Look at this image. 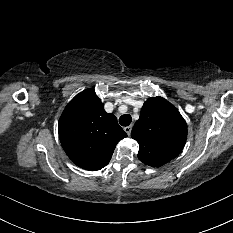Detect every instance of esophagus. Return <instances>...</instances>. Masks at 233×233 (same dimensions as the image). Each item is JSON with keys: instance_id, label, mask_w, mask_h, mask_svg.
Listing matches in <instances>:
<instances>
[{"instance_id": "esophagus-1", "label": "esophagus", "mask_w": 233, "mask_h": 233, "mask_svg": "<svg viewBox=\"0 0 233 233\" xmlns=\"http://www.w3.org/2000/svg\"><path fill=\"white\" fill-rule=\"evenodd\" d=\"M131 130H132V126H127L124 128V131L127 133L128 136L131 134Z\"/></svg>"}]
</instances>
